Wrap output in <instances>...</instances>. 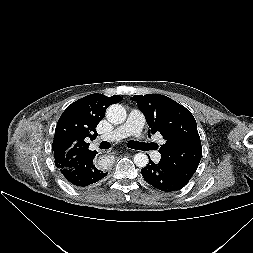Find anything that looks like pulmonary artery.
I'll list each match as a JSON object with an SVG mask.
<instances>
[{
  "instance_id": "1",
  "label": "pulmonary artery",
  "mask_w": 253,
  "mask_h": 253,
  "mask_svg": "<svg viewBox=\"0 0 253 253\" xmlns=\"http://www.w3.org/2000/svg\"><path fill=\"white\" fill-rule=\"evenodd\" d=\"M145 125V117L139 110L133 109L130 111L128 118L124 124L116 128L110 133L101 136L102 140L114 141L123 139L129 135L140 137ZM151 159L154 162H159L161 155L156 150L149 152Z\"/></svg>"
}]
</instances>
